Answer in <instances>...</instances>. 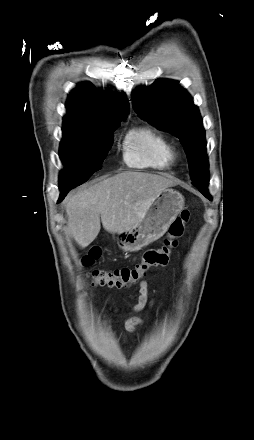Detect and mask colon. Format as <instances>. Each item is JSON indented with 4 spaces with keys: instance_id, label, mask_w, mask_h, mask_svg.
<instances>
[{
    "instance_id": "obj_1",
    "label": "colon",
    "mask_w": 254,
    "mask_h": 440,
    "mask_svg": "<svg viewBox=\"0 0 254 440\" xmlns=\"http://www.w3.org/2000/svg\"><path fill=\"white\" fill-rule=\"evenodd\" d=\"M190 213L187 210L181 212L170 225L168 235L161 247L147 250L140 262L134 266L121 267L112 270L94 269L89 273L92 285L108 287L129 286L141 278L146 272L155 266H165L168 264L173 250L178 244L184 227L189 221ZM100 256V250L93 248L82 258L85 265H90Z\"/></svg>"
}]
</instances>
